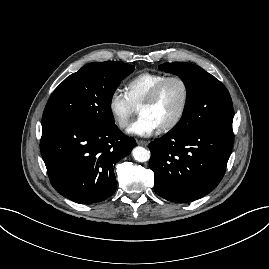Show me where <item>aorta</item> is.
<instances>
[{"label": "aorta", "instance_id": "762f6f07", "mask_svg": "<svg viewBox=\"0 0 269 269\" xmlns=\"http://www.w3.org/2000/svg\"><path fill=\"white\" fill-rule=\"evenodd\" d=\"M132 155L138 162H146L150 159V151L141 146L135 147L132 150Z\"/></svg>", "mask_w": 269, "mask_h": 269}]
</instances>
